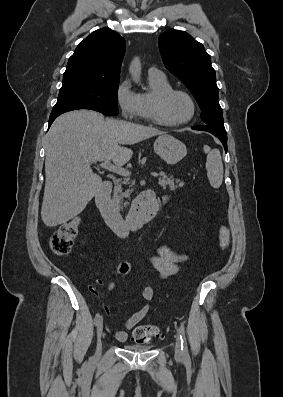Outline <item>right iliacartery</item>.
Returning a JSON list of instances; mask_svg holds the SVG:
<instances>
[{"label":"right iliac artery","mask_w":283,"mask_h":397,"mask_svg":"<svg viewBox=\"0 0 283 397\" xmlns=\"http://www.w3.org/2000/svg\"><path fill=\"white\" fill-rule=\"evenodd\" d=\"M100 319H101V316L99 313H97L95 316V319H94L95 325H97L99 323Z\"/></svg>","instance_id":"82829eb1"}]
</instances>
